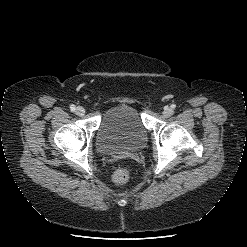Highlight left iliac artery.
I'll use <instances>...</instances> for the list:
<instances>
[{"label":"left iliac artery","mask_w":247,"mask_h":247,"mask_svg":"<svg viewBox=\"0 0 247 247\" xmlns=\"http://www.w3.org/2000/svg\"><path fill=\"white\" fill-rule=\"evenodd\" d=\"M171 107H172V108H175V106H174V105H172Z\"/></svg>","instance_id":"obj_1"}]
</instances>
